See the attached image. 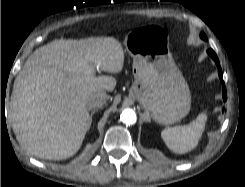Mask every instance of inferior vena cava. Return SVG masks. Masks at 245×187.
I'll use <instances>...</instances> for the list:
<instances>
[{
    "label": "inferior vena cava",
    "instance_id": "602c4592",
    "mask_svg": "<svg viewBox=\"0 0 245 187\" xmlns=\"http://www.w3.org/2000/svg\"><path fill=\"white\" fill-rule=\"evenodd\" d=\"M107 101V94L105 91H98L92 93L87 100V107L91 108H100L102 107Z\"/></svg>",
    "mask_w": 245,
    "mask_h": 187
}]
</instances>
